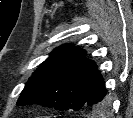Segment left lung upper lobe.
Wrapping results in <instances>:
<instances>
[{
    "mask_svg": "<svg viewBox=\"0 0 133 118\" xmlns=\"http://www.w3.org/2000/svg\"><path fill=\"white\" fill-rule=\"evenodd\" d=\"M85 55L77 47L55 51L33 72L17 104H40L60 111L85 108L102 77L96 64L85 59Z\"/></svg>",
    "mask_w": 133,
    "mask_h": 118,
    "instance_id": "left-lung-upper-lobe-1",
    "label": "left lung upper lobe"
}]
</instances>
